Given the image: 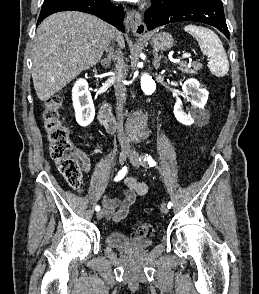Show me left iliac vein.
Segmentation results:
<instances>
[{
	"instance_id": "4c4485c4",
	"label": "left iliac vein",
	"mask_w": 259,
	"mask_h": 294,
	"mask_svg": "<svg viewBox=\"0 0 259 294\" xmlns=\"http://www.w3.org/2000/svg\"><path fill=\"white\" fill-rule=\"evenodd\" d=\"M129 158H130V162H131L135 167H139V166L141 165V162H140V160H139V159H140V156H139V154H138L136 151H134V150L131 151ZM160 209H161V212H162L163 214H167L168 211H169V208H168L167 204L164 203V202L161 204Z\"/></svg>"
}]
</instances>
